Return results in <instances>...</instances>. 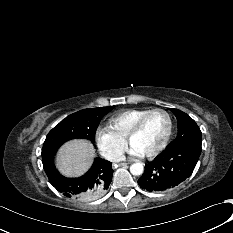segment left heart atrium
Wrapping results in <instances>:
<instances>
[{
    "instance_id": "39dd6f15",
    "label": "left heart atrium",
    "mask_w": 233,
    "mask_h": 233,
    "mask_svg": "<svg viewBox=\"0 0 233 233\" xmlns=\"http://www.w3.org/2000/svg\"><path fill=\"white\" fill-rule=\"evenodd\" d=\"M129 155L131 156H141L142 154L134 147H130L129 149Z\"/></svg>"
}]
</instances>
